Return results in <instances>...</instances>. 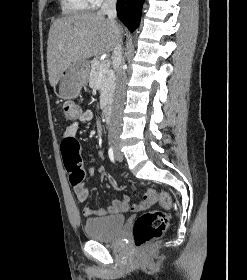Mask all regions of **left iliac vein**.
<instances>
[{"label": "left iliac vein", "instance_id": "4c4485c4", "mask_svg": "<svg viewBox=\"0 0 247 280\" xmlns=\"http://www.w3.org/2000/svg\"><path fill=\"white\" fill-rule=\"evenodd\" d=\"M116 159L119 162L123 160V156H122V154L119 151L116 152Z\"/></svg>", "mask_w": 247, "mask_h": 280}]
</instances>
